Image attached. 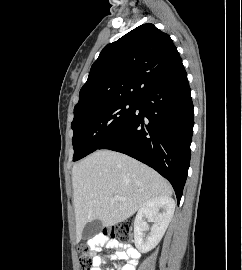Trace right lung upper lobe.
<instances>
[{
	"label": "right lung upper lobe",
	"mask_w": 242,
	"mask_h": 270,
	"mask_svg": "<svg viewBox=\"0 0 242 270\" xmlns=\"http://www.w3.org/2000/svg\"><path fill=\"white\" fill-rule=\"evenodd\" d=\"M181 66L170 36L153 24L140 25L103 48L80 90L74 115L117 100H137Z\"/></svg>",
	"instance_id": "obj_1"
}]
</instances>
